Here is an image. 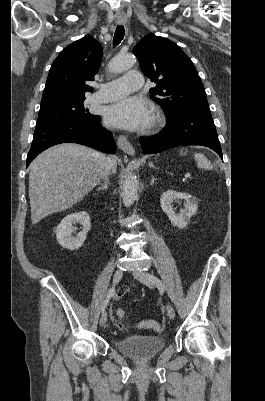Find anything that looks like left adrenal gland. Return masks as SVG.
Listing matches in <instances>:
<instances>
[{
	"label": "left adrenal gland",
	"instance_id": "a2214340",
	"mask_svg": "<svg viewBox=\"0 0 265 401\" xmlns=\"http://www.w3.org/2000/svg\"><path fill=\"white\" fill-rule=\"evenodd\" d=\"M154 180H155V176H153V174H151V182H150V184H154Z\"/></svg>",
	"mask_w": 265,
	"mask_h": 401
}]
</instances>
